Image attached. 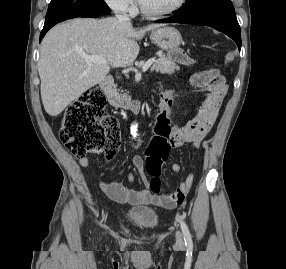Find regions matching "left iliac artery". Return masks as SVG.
<instances>
[{
  "instance_id": "1",
  "label": "left iliac artery",
  "mask_w": 286,
  "mask_h": 269,
  "mask_svg": "<svg viewBox=\"0 0 286 269\" xmlns=\"http://www.w3.org/2000/svg\"><path fill=\"white\" fill-rule=\"evenodd\" d=\"M180 224H181V229H182V232H183V235H184L185 244L188 247H192L193 246V242H192V238H191V234H190V231L188 229V226L186 225L184 220H181Z\"/></svg>"
}]
</instances>
